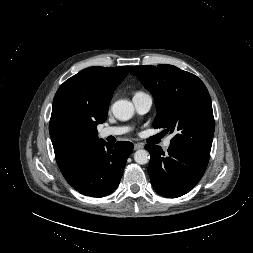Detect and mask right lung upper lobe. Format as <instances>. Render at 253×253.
I'll list each match as a JSON object with an SVG mask.
<instances>
[{
  "label": "right lung upper lobe",
  "mask_w": 253,
  "mask_h": 253,
  "mask_svg": "<svg viewBox=\"0 0 253 253\" xmlns=\"http://www.w3.org/2000/svg\"><path fill=\"white\" fill-rule=\"evenodd\" d=\"M129 68L89 67L57 90L49 133L61 172L94 142L102 140L98 138L97 125L105 122L113 92Z\"/></svg>",
  "instance_id": "cb5924a9"
}]
</instances>
